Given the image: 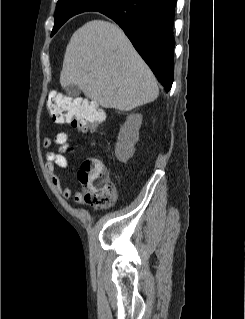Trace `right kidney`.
Here are the masks:
<instances>
[{
  "instance_id": "1",
  "label": "right kidney",
  "mask_w": 245,
  "mask_h": 319,
  "mask_svg": "<svg viewBox=\"0 0 245 319\" xmlns=\"http://www.w3.org/2000/svg\"><path fill=\"white\" fill-rule=\"evenodd\" d=\"M142 124L141 114H131L121 127L118 141L115 145L116 158L121 162H127L135 152L134 145L139 139V129Z\"/></svg>"
}]
</instances>
